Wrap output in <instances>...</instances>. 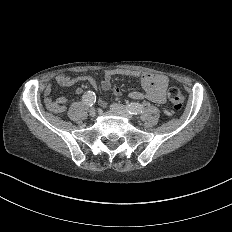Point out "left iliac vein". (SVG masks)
Wrapping results in <instances>:
<instances>
[{"instance_id":"4c4485c4","label":"left iliac vein","mask_w":232,"mask_h":232,"mask_svg":"<svg viewBox=\"0 0 232 232\" xmlns=\"http://www.w3.org/2000/svg\"><path fill=\"white\" fill-rule=\"evenodd\" d=\"M108 108L110 110H113L114 112L120 113L121 115H123L126 118H128L130 121H133L135 119V116L133 114H131L126 109L122 108L118 103H110L108 105Z\"/></svg>"}]
</instances>
